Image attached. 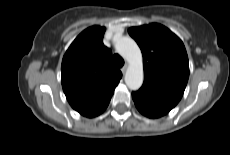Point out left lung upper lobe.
I'll use <instances>...</instances> for the list:
<instances>
[{
  "label": "left lung upper lobe",
  "instance_id": "obj_1",
  "mask_svg": "<svg viewBox=\"0 0 230 155\" xmlns=\"http://www.w3.org/2000/svg\"><path fill=\"white\" fill-rule=\"evenodd\" d=\"M128 33L143 54L144 83L138 92L175 107L189 78V62L183 42L157 23L131 27Z\"/></svg>",
  "mask_w": 230,
  "mask_h": 155
}]
</instances>
